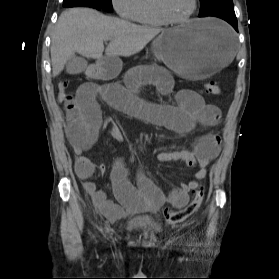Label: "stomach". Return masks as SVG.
<instances>
[{"mask_svg": "<svg viewBox=\"0 0 279 279\" xmlns=\"http://www.w3.org/2000/svg\"><path fill=\"white\" fill-rule=\"evenodd\" d=\"M153 53L189 82H199L220 69H227L232 59H236L238 50L226 24L194 19L180 27L163 30L153 43ZM121 65L116 57L101 59L96 65L94 82H111Z\"/></svg>", "mask_w": 279, "mask_h": 279, "instance_id": "1", "label": "stomach"}]
</instances>
